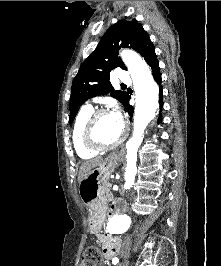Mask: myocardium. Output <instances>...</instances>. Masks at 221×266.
I'll return each instance as SVG.
<instances>
[{"label":"myocardium","mask_w":221,"mask_h":266,"mask_svg":"<svg viewBox=\"0 0 221 266\" xmlns=\"http://www.w3.org/2000/svg\"><path fill=\"white\" fill-rule=\"evenodd\" d=\"M109 113L106 109H97L91 113L88 117L84 128H83V142L86 147L95 151H106L120 145L127 137L128 129L125 125H122L121 135L117 140L111 143H103L99 141L95 136V128L98 118L103 115Z\"/></svg>","instance_id":"f54148a6"}]
</instances>
